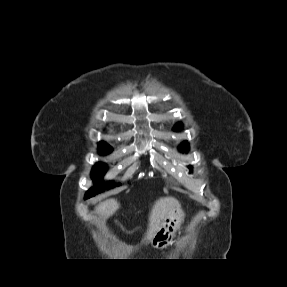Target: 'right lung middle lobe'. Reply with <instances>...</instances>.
Listing matches in <instances>:
<instances>
[{
    "label": "right lung middle lobe",
    "mask_w": 287,
    "mask_h": 287,
    "mask_svg": "<svg viewBox=\"0 0 287 287\" xmlns=\"http://www.w3.org/2000/svg\"><path fill=\"white\" fill-rule=\"evenodd\" d=\"M99 151L101 154H108L112 151V148L107 144H100ZM105 172H106V165L103 163H97L93 167L92 178L96 182H100L101 177L103 176V174ZM115 186H116V184H114L113 182H108L106 184H104V183L96 184L93 188H91L89 191H87L85 198H90V197L95 196L96 194H98L100 192H103L105 189H111ZM117 186H119V184H117Z\"/></svg>",
    "instance_id": "dd1d6c3e"
}]
</instances>
